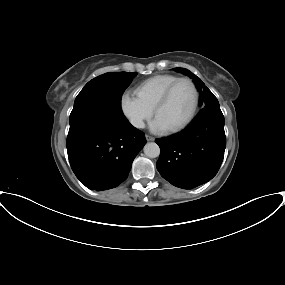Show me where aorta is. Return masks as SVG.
I'll return each instance as SVG.
<instances>
[{"mask_svg": "<svg viewBox=\"0 0 285 285\" xmlns=\"http://www.w3.org/2000/svg\"><path fill=\"white\" fill-rule=\"evenodd\" d=\"M144 154L149 158H156L160 155V148L155 142L147 143L144 148Z\"/></svg>", "mask_w": 285, "mask_h": 285, "instance_id": "aorta-1", "label": "aorta"}]
</instances>
